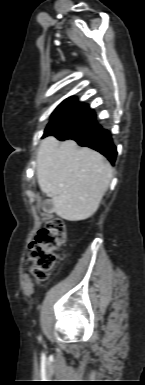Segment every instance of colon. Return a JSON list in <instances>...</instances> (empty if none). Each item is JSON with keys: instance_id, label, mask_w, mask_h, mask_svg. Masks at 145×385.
Here are the masks:
<instances>
[{"instance_id": "1", "label": "colon", "mask_w": 145, "mask_h": 385, "mask_svg": "<svg viewBox=\"0 0 145 385\" xmlns=\"http://www.w3.org/2000/svg\"><path fill=\"white\" fill-rule=\"evenodd\" d=\"M66 239L65 224L61 219L53 218L45 222L35 240L29 245L28 259L36 280L44 281L54 267L58 250Z\"/></svg>"}]
</instances>
